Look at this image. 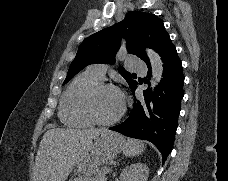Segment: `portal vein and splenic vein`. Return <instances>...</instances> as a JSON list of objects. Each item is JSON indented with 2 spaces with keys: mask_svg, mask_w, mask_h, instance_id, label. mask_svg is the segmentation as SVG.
<instances>
[{
  "mask_svg": "<svg viewBox=\"0 0 228 181\" xmlns=\"http://www.w3.org/2000/svg\"><path fill=\"white\" fill-rule=\"evenodd\" d=\"M105 171V173L107 174V173H109V174H112L113 173V170H112V168L109 166L108 168L106 167L105 169H104Z\"/></svg>",
  "mask_w": 228,
  "mask_h": 181,
  "instance_id": "1",
  "label": "portal vein and splenic vein"
}]
</instances>
